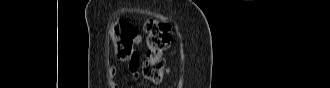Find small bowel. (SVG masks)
<instances>
[{
	"mask_svg": "<svg viewBox=\"0 0 330 88\" xmlns=\"http://www.w3.org/2000/svg\"><path fill=\"white\" fill-rule=\"evenodd\" d=\"M141 42H142V37L139 34H136L133 40V45H139L141 44ZM127 61L130 62V70L133 74V77L135 79H138V66H139L138 56L135 54ZM117 73H118V69L116 67H111L108 71V79L110 81L112 88H119L118 84L114 81V78L116 77Z\"/></svg>",
	"mask_w": 330,
	"mask_h": 88,
	"instance_id": "1",
	"label": "small bowel"
}]
</instances>
